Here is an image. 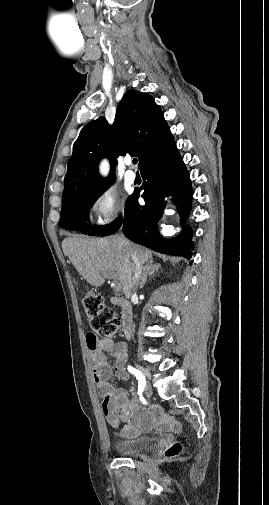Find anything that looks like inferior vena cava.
<instances>
[{
    "instance_id": "602c4592",
    "label": "inferior vena cava",
    "mask_w": 269,
    "mask_h": 505,
    "mask_svg": "<svg viewBox=\"0 0 269 505\" xmlns=\"http://www.w3.org/2000/svg\"><path fill=\"white\" fill-rule=\"evenodd\" d=\"M130 254H131V260H132V267H133L132 288L135 289L138 286L139 279L141 277L142 266H141V263H140L137 255L132 251H130Z\"/></svg>"
}]
</instances>
